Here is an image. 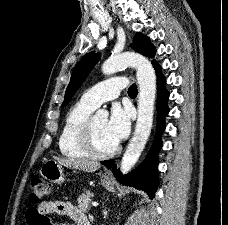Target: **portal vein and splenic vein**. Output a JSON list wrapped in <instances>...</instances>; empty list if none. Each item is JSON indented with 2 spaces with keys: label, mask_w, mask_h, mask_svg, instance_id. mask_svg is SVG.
Wrapping results in <instances>:
<instances>
[{
  "label": "portal vein and splenic vein",
  "mask_w": 228,
  "mask_h": 225,
  "mask_svg": "<svg viewBox=\"0 0 228 225\" xmlns=\"http://www.w3.org/2000/svg\"><path fill=\"white\" fill-rule=\"evenodd\" d=\"M93 207H97V203H92Z\"/></svg>",
  "instance_id": "18ae733b"
}]
</instances>
